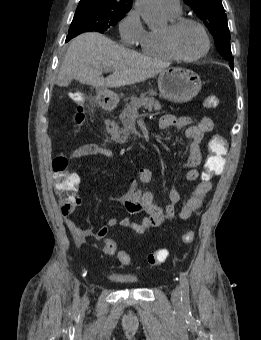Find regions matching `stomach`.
<instances>
[{
  "mask_svg": "<svg viewBox=\"0 0 261 340\" xmlns=\"http://www.w3.org/2000/svg\"><path fill=\"white\" fill-rule=\"evenodd\" d=\"M200 76L188 69L172 67L162 70L158 77L160 96L175 103L191 101L201 90ZM99 102L105 108L115 106L120 97L113 91L102 89L98 94Z\"/></svg>",
  "mask_w": 261,
  "mask_h": 340,
  "instance_id": "obj_1",
  "label": "stomach"
}]
</instances>
